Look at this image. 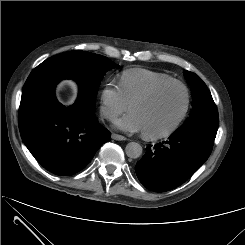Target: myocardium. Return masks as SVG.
<instances>
[{
    "label": "myocardium",
    "mask_w": 245,
    "mask_h": 245,
    "mask_svg": "<svg viewBox=\"0 0 245 245\" xmlns=\"http://www.w3.org/2000/svg\"><path fill=\"white\" fill-rule=\"evenodd\" d=\"M168 86H179L183 89V91L185 93L184 108H183L181 114L179 115L178 119L175 121V123L171 127H169L168 129H166L162 132H159V133H148V132L143 131V136L149 140H160V139L167 138V137L171 136L174 132H176L177 129L182 125L183 121L185 120V118L189 112L190 104H191V94H190L189 88L183 82L178 81V80L173 79V80H169V81H164V82H160L158 84H155L150 89H148L146 92L137 96L136 98H134L129 103L128 109H129V111H131V108L134 105L150 100L151 98H153L157 94V92H159L161 89L166 88Z\"/></svg>",
    "instance_id": "f54148a6"
}]
</instances>
